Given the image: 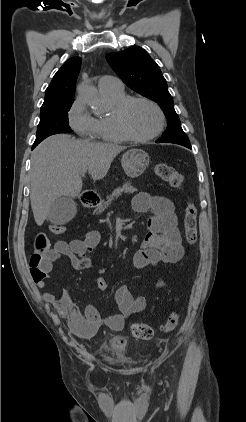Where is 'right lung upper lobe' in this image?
Wrapping results in <instances>:
<instances>
[{
    "mask_svg": "<svg viewBox=\"0 0 246 422\" xmlns=\"http://www.w3.org/2000/svg\"><path fill=\"white\" fill-rule=\"evenodd\" d=\"M80 66V57H73L62 65L45 91V99L42 106L74 100L75 85Z\"/></svg>",
    "mask_w": 246,
    "mask_h": 422,
    "instance_id": "obj_1",
    "label": "right lung upper lobe"
}]
</instances>
